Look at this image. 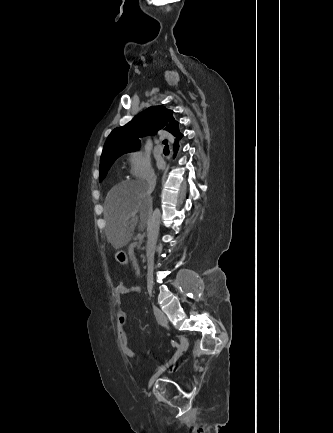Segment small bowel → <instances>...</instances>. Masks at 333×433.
Returning a JSON list of instances; mask_svg holds the SVG:
<instances>
[{"label": "small bowel", "mask_w": 333, "mask_h": 433, "mask_svg": "<svg viewBox=\"0 0 333 433\" xmlns=\"http://www.w3.org/2000/svg\"><path fill=\"white\" fill-rule=\"evenodd\" d=\"M140 293V288L138 286H128L126 284H119L114 290V300L117 306L116 317H117V329L119 343L123 353L130 359H137L140 354L129 346L128 333L126 329V312L121 309V303L123 299L131 294ZM148 354V352H147Z\"/></svg>", "instance_id": "obj_1"}]
</instances>
